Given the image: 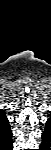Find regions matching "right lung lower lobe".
Instances as JSON below:
<instances>
[{
	"label": "right lung lower lobe",
	"mask_w": 51,
	"mask_h": 150,
	"mask_svg": "<svg viewBox=\"0 0 51 150\" xmlns=\"http://www.w3.org/2000/svg\"><path fill=\"white\" fill-rule=\"evenodd\" d=\"M13 149V146H12V143L10 145H8V147L6 148V150H12Z\"/></svg>",
	"instance_id": "obj_1"
}]
</instances>
